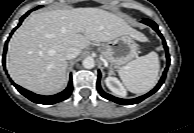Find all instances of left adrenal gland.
Wrapping results in <instances>:
<instances>
[{"label":"left adrenal gland","mask_w":194,"mask_h":133,"mask_svg":"<svg viewBox=\"0 0 194 133\" xmlns=\"http://www.w3.org/2000/svg\"><path fill=\"white\" fill-rule=\"evenodd\" d=\"M112 74H114V71H113V69L111 67H109L108 75H112Z\"/></svg>","instance_id":"1"}]
</instances>
